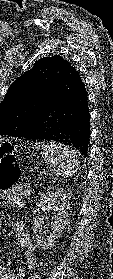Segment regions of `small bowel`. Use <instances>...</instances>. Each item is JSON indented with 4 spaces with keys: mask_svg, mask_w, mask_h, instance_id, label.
I'll list each match as a JSON object with an SVG mask.
<instances>
[{
    "mask_svg": "<svg viewBox=\"0 0 113 279\" xmlns=\"http://www.w3.org/2000/svg\"><path fill=\"white\" fill-rule=\"evenodd\" d=\"M0 198L9 201L16 207L24 205V198L13 194H1ZM13 231L17 237V243L23 251V260L25 267L23 269H5L0 263V279H24L27 273L33 272L37 265V259L34 255V247L31 241V234L26 229L22 221H17L13 225Z\"/></svg>",
    "mask_w": 113,
    "mask_h": 279,
    "instance_id": "small-bowel-1",
    "label": "small bowel"
}]
</instances>
